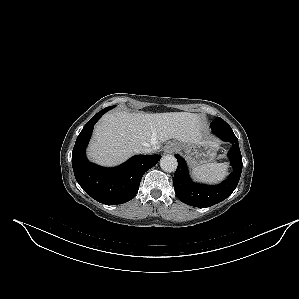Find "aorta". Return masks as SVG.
<instances>
[{"label": "aorta", "mask_w": 299, "mask_h": 299, "mask_svg": "<svg viewBox=\"0 0 299 299\" xmlns=\"http://www.w3.org/2000/svg\"><path fill=\"white\" fill-rule=\"evenodd\" d=\"M177 165V159L173 155H165L160 160V167L165 172H175Z\"/></svg>", "instance_id": "aorta-1"}]
</instances>
